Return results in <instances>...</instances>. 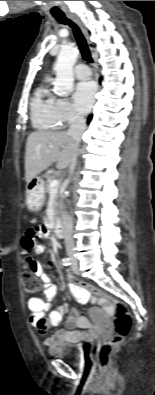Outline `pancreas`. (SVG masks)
Returning <instances> with one entry per match:
<instances>
[{
	"label": "pancreas",
	"mask_w": 155,
	"mask_h": 395,
	"mask_svg": "<svg viewBox=\"0 0 155 395\" xmlns=\"http://www.w3.org/2000/svg\"><path fill=\"white\" fill-rule=\"evenodd\" d=\"M45 178H46L45 190H46V192L49 193L50 190H51L50 182L53 180V176L51 174H49V173H46L45 174ZM58 198H59V193L56 196V201L58 200ZM55 205L57 206L58 204L56 203Z\"/></svg>",
	"instance_id": "obj_1"
}]
</instances>
